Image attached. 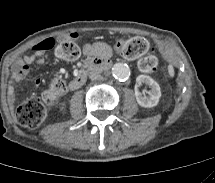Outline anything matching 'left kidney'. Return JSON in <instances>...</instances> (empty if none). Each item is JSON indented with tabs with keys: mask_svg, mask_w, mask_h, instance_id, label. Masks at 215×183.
<instances>
[{
	"mask_svg": "<svg viewBox=\"0 0 215 183\" xmlns=\"http://www.w3.org/2000/svg\"><path fill=\"white\" fill-rule=\"evenodd\" d=\"M142 83H145L151 87L150 96H143L142 93L138 90V86ZM135 97L137 103L145 108H151L158 104L159 99L161 97V89L159 84L154 81L150 76L147 75H139L136 78V86H135Z\"/></svg>",
	"mask_w": 215,
	"mask_h": 183,
	"instance_id": "1",
	"label": "left kidney"
}]
</instances>
